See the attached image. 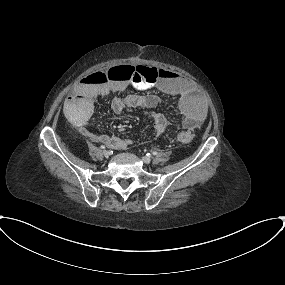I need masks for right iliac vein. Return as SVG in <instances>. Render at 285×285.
<instances>
[{
    "label": "right iliac vein",
    "instance_id": "right-iliac-vein-1",
    "mask_svg": "<svg viewBox=\"0 0 285 285\" xmlns=\"http://www.w3.org/2000/svg\"><path fill=\"white\" fill-rule=\"evenodd\" d=\"M102 154L104 155V157L108 158L109 155H110V152L107 151V150H104V151L102 152Z\"/></svg>",
    "mask_w": 285,
    "mask_h": 285
}]
</instances>
